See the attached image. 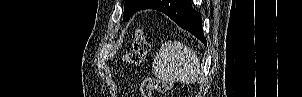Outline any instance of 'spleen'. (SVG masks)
Masks as SVG:
<instances>
[{"instance_id":"1","label":"spleen","mask_w":302,"mask_h":97,"mask_svg":"<svg viewBox=\"0 0 302 97\" xmlns=\"http://www.w3.org/2000/svg\"><path fill=\"white\" fill-rule=\"evenodd\" d=\"M154 75L163 81L195 83L200 75V62L196 52L177 42L164 43L153 63Z\"/></svg>"}]
</instances>
